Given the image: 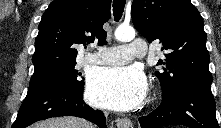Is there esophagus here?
Wrapping results in <instances>:
<instances>
[{
    "label": "esophagus",
    "instance_id": "obj_1",
    "mask_svg": "<svg viewBox=\"0 0 221 128\" xmlns=\"http://www.w3.org/2000/svg\"><path fill=\"white\" fill-rule=\"evenodd\" d=\"M118 128H133V124L128 118H119L117 120Z\"/></svg>",
    "mask_w": 221,
    "mask_h": 128
}]
</instances>
